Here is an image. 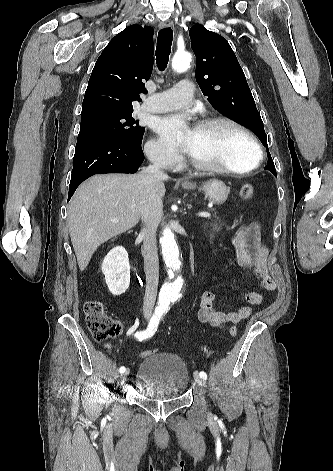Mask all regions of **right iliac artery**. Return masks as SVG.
Listing matches in <instances>:
<instances>
[{
    "label": "right iliac artery",
    "instance_id": "1",
    "mask_svg": "<svg viewBox=\"0 0 333 471\" xmlns=\"http://www.w3.org/2000/svg\"><path fill=\"white\" fill-rule=\"evenodd\" d=\"M160 318H161V313L160 312H155L153 314V316L151 317L150 321H149L147 329L143 330V331H140V332H136L135 337L139 341H142V340H145V339H148V338L152 337L154 335V333L156 332L157 328H158ZM119 372L124 373L125 372V367L121 366L119 368Z\"/></svg>",
    "mask_w": 333,
    "mask_h": 471
}]
</instances>
